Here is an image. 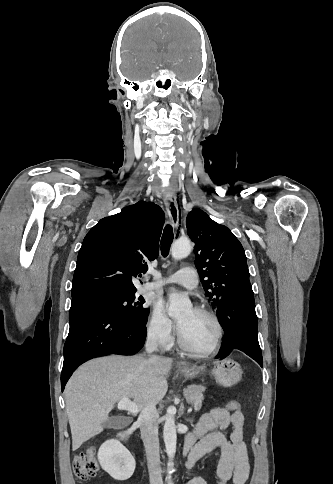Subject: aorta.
I'll list each match as a JSON object with an SVG mask.
<instances>
[{
	"instance_id": "762f6f07",
	"label": "aorta",
	"mask_w": 333,
	"mask_h": 484,
	"mask_svg": "<svg viewBox=\"0 0 333 484\" xmlns=\"http://www.w3.org/2000/svg\"><path fill=\"white\" fill-rule=\"evenodd\" d=\"M191 250H192L191 243L187 239H178L174 241L171 246V254L175 260H180L187 257L190 254ZM190 307H191V302L188 297L180 295L174 290H172V292L169 294V306L167 310L169 316L171 317L179 316ZM163 437H164L166 453L169 458V465H171L176 453V444H177L174 412L171 408L168 409L167 414L165 416ZM167 478H168L169 484H171L170 482L171 476H168Z\"/></svg>"
}]
</instances>
